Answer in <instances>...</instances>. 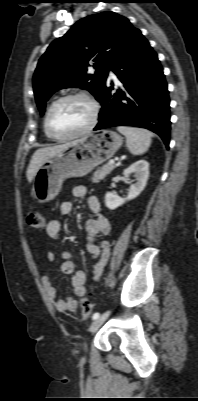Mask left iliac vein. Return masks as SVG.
<instances>
[{"instance_id":"obj_1","label":"left iliac vein","mask_w":198,"mask_h":401,"mask_svg":"<svg viewBox=\"0 0 198 401\" xmlns=\"http://www.w3.org/2000/svg\"><path fill=\"white\" fill-rule=\"evenodd\" d=\"M109 314H110V312L108 311V312L102 314L101 316H99L97 319H95L91 323V325L89 327V331L90 332H95L106 321V319L108 318Z\"/></svg>"}]
</instances>
